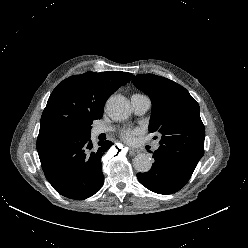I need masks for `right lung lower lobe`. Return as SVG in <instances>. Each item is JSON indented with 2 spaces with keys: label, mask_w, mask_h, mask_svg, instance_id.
<instances>
[{
  "label": "right lung lower lobe",
  "mask_w": 248,
  "mask_h": 248,
  "mask_svg": "<svg viewBox=\"0 0 248 248\" xmlns=\"http://www.w3.org/2000/svg\"><path fill=\"white\" fill-rule=\"evenodd\" d=\"M112 142L93 146L90 131L69 133L39 152L44 174L61 195L83 200L94 195L104 183L101 157Z\"/></svg>",
  "instance_id": "98d812e1"
}]
</instances>
